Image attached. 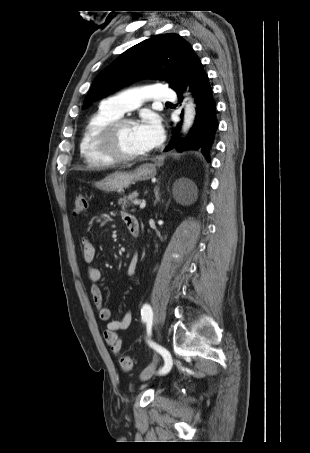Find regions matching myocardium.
Segmentation results:
<instances>
[{
  "label": "myocardium",
  "mask_w": 310,
  "mask_h": 453,
  "mask_svg": "<svg viewBox=\"0 0 310 453\" xmlns=\"http://www.w3.org/2000/svg\"><path fill=\"white\" fill-rule=\"evenodd\" d=\"M136 124V120L128 117H119L105 126L99 133L97 145L102 154L116 163H129L145 158L148 153L135 155L122 154L117 147V138L122 128Z\"/></svg>",
  "instance_id": "obj_1"
}]
</instances>
